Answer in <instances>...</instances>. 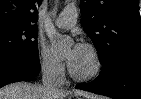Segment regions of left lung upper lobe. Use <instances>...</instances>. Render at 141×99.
<instances>
[{
	"label": "left lung upper lobe",
	"mask_w": 141,
	"mask_h": 99,
	"mask_svg": "<svg viewBox=\"0 0 141 99\" xmlns=\"http://www.w3.org/2000/svg\"><path fill=\"white\" fill-rule=\"evenodd\" d=\"M82 23L102 67L122 54H141V19L137 0H81Z\"/></svg>",
	"instance_id": "1"
}]
</instances>
